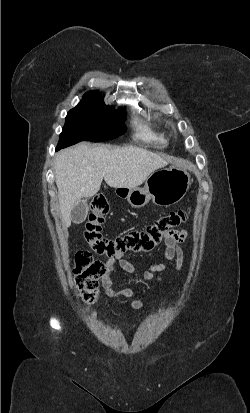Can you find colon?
I'll use <instances>...</instances> for the list:
<instances>
[{
    "instance_id": "colon-1",
    "label": "colon",
    "mask_w": 250,
    "mask_h": 413,
    "mask_svg": "<svg viewBox=\"0 0 250 413\" xmlns=\"http://www.w3.org/2000/svg\"><path fill=\"white\" fill-rule=\"evenodd\" d=\"M108 212L109 205L104 196H97L92 200L84 238L93 252L98 255L115 256L128 251L135 253L151 251L166 237V230L179 226L187 219L186 211L179 209L159 218L143 230L131 231L123 236L108 239L102 235V224ZM104 273V265L94 261L89 252L77 254L74 274L78 290L86 302L96 301L98 280Z\"/></svg>"
}]
</instances>
